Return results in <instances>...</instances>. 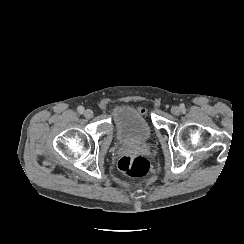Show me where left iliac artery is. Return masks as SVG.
<instances>
[{"mask_svg":"<svg viewBox=\"0 0 244 244\" xmlns=\"http://www.w3.org/2000/svg\"><path fill=\"white\" fill-rule=\"evenodd\" d=\"M180 108H181L182 110H184V109H185V105H184V104H181V105H180Z\"/></svg>","mask_w":244,"mask_h":244,"instance_id":"44dca946","label":"left iliac artery"}]
</instances>
